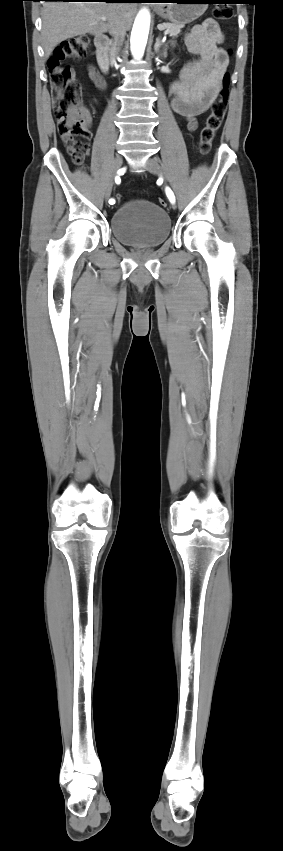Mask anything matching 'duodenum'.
<instances>
[{"label":"duodenum","instance_id":"410a0bca","mask_svg":"<svg viewBox=\"0 0 283 851\" xmlns=\"http://www.w3.org/2000/svg\"><path fill=\"white\" fill-rule=\"evenodd\" d=\"M95 47H96V57L99 63L100 68L104 73L108 72L109 61H108V48H109V38L105 35H99L95 39Z\"/></svg>","mask_w":283,"mask_h":851}]
</instances>
